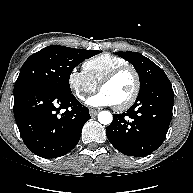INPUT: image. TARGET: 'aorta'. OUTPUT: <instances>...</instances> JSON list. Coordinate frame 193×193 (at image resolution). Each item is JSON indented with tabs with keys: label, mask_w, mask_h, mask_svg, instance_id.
Masks as SVG:
<instances>
[{
	"label": "aorta",
	"mask_w": 193,
	"mask_h": 193,
	"mask_svg": "<svg viewBox=\"0 0 193 193\" xmlns=\"http://www.w3.org/2000/svg\"><path fill=\"white\" fill-rule=\"evenodd\" d=\"M113 120V116L109 111H101L98 114V121L101 124L109 125Z\"/></svg>",
	"instance_id": "obj_1"
}]
</instances>
